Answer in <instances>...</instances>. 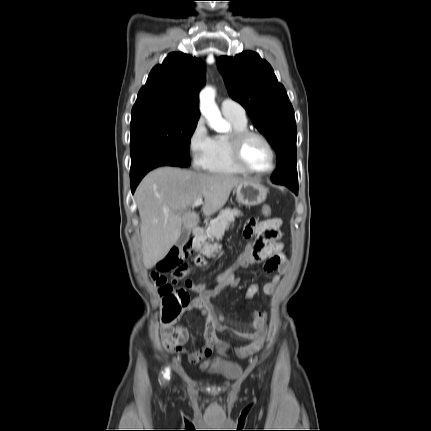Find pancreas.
Returning <instances> with one entry per match:
<instances>
[{
	"label": "pancreas",
	"instance_id": "1",
	"mask_svg": "<svg viewBox=\"0 0 431 431\" xmlns=\"http://www.w3.org/2000/svg\"><path fill=\"white\" fill-rule=\"evenodd\" d=\"M240 215L241 212L238 209H222L219 215L215 219L210 221V225L206 229L207 237L209 239H221L230 223L235 220V217H238ZM216 249L217 248L214 245H210L207 242H202V244L200 245V251L206 256H212Z\"/></svg>",
	"mask_w": 431,
	"mask_h": 431
}]
</instances>
